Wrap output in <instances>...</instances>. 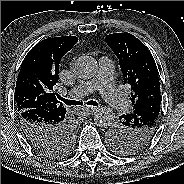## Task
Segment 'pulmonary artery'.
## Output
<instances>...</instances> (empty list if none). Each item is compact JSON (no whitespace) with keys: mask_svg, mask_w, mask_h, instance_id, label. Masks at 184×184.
<instances>
[{"mask_svg":"<svg viewBox=\"0 0 184 184\" xmlns=\"http://www.w3.org/2000/svg\"><path fill=\"white\" fill-rule=\"evenodd\" d=\"M113 73V61L107 57L101 58L97 75L72 88L70 96L81 98L99 89L112 110L118 113L127 112L130 109L129 101L114 85Z\"/></svg>","mask_w":184,"mask_h":184,"instance_id":"1","label":"pulmonary artery"}]
</instances>
